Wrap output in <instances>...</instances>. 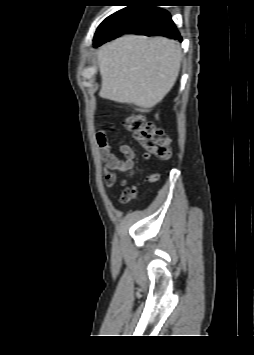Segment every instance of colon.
<instances>
[{"mask_svg":"<svg viewBox=\"0 0 254 355\" xmlns=\"http://www.w3.org/2000/svg\"><path fill=\"white\" fill-rule=\"evenodd\" d=\"M124 126L134 141L143 147L146 157L165 161L172 157L169 138L154 123L145 121L140 116L129 115L124 119ZM134 194L135 192L131 191V195Z\"/></svg>","mask_w":254,"mask_h":355,"instance_id":"5ec220e1","label":"colon"}]
</instances>
